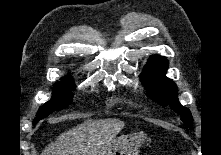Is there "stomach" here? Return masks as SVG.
<instances>
[{
  "label": "stomach",
  "mask_w": 221,
  "mask_h": 155,
  "mask_svg": "<svg viewBox=\"0 0 221 155\" xmlns=\"http://www.w3.org/2000/svg\"><path fill=\"white\" fill-rule=\"evenodd\" d=\"M144 142L138 134L123 135L113 140L104 155H138Z\"/></svg>",
  "instance_id": "1"
}]
</instances>
